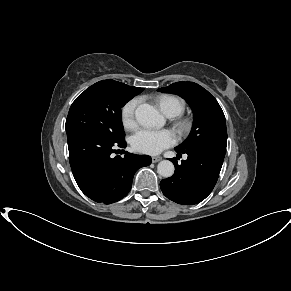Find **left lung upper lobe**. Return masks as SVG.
Returning a JSON list of instances; mask_svg holds the SVG:
<instances>
[{"instance_id":"5c2ea615","label":"left lung upper lobe","mask_w":291,"mask_h":291,"mask_svg":"<svg viewBox=\"0 0 291 291\" xmlns=\"http://www.w3.org/2000/svg\"><path fill=\"white\" fill-rule=\"evenodd\" d=\"M158 90L181 96L194 114V124L188 138L176 149L184 151L206 147L226 150L225 116L217 100L206 89L193 82H177Z\"/></svg>"}]
</instances>
